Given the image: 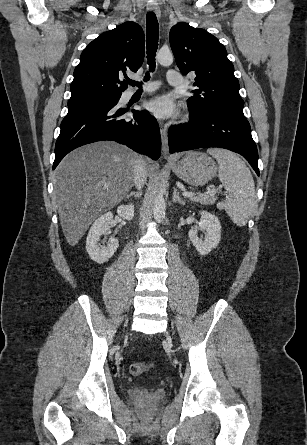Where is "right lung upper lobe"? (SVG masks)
Here are the masks:
<instances>
[{
	"instance_id": "1",
	"label": "right lung upper lobe",
	"mask_w": 307,
	"mask_h": 445,
	"mask_svg": "<svg viewBox=\"0 0 307 445\" xmlns=\"http://www.w3.org/2000/svg\"><path fill=\"white\" fill-rule=\"evenodd\" d=\"M144 59V32L134 22H125L102 33L83 50L74 70L69 101L98 96H121L127 88L120 79L136 72ZM120 84V86L118 85Z\"/></svg>"
}]
</instances>
